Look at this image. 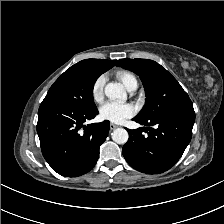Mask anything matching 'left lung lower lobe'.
<instances>
[{"label": "left lung lower lobe", "mask_w": 224, "mask_h": 224, "mask_svg": "<svg viewBox=\"0 0 224 224\" xmlns=\"http://www.w3.org/2000/svg\"><path fill=\"white\" fill-rule=\"evenodd\" d=\"M134 121L156 128L128 130L129 140L123 146V155L134 169L158 174L170 169L182 156L192 137L194 109H178L151 120L137 117Z\"/></svg>", "instance_id": "0a47b994"}]
</instances>
